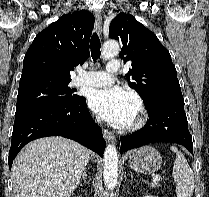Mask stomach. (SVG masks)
Returning <instances> with one entry per match:
<instances>
[{
	"mask_svg": "<svg viewBox=\"0 0 209 197\" xmlns=\"http://www.w3.org/2000/svg\"><path fill=\"white\" fill-rule=\"evenodd\" d=\"M129 165L139 172L154 173L161 168L162 158L156 149L151 146H144L131 152Z\"/></svg>",
	"mask_w": 209,
	"mask_h": 197,
	"instance_id": "stomach-1",
	"label": "stomach"
}]
</instances>
